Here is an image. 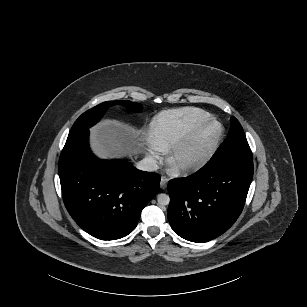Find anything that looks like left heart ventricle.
I'll return each mask as SVG.
<instances>
[{
	"label": "left heart ventricle",
	"instance_id": "obj_1",
	"mask_svg": "<svg viewBox=\"0 0 307 307\" xmlns=\"http://www.w3.org/2000/svg\"><path fill=\"white\" fill-rule=\"evenodd\" d=\"M222 127L220 124H216L211 127L207 134L202 138L198 146L190 151L184 158L185 161H192L198 158L206 147L221 133Z\"/></svg>",
	"mask_w": 307,
	"mask_h": 307
}]
</instances>
